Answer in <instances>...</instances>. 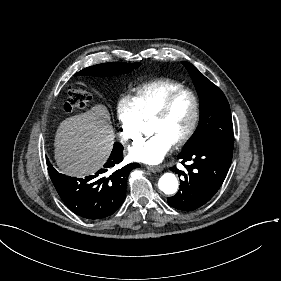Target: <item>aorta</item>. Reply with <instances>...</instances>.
<instances>
[{
    "mask_svg": "<svg viewBox=\"0 0 281 281\" xmlns=\"http://www.w3.org/2000/svg\"><path fill=\"white\" fill-rule=\"evenodd\" d=\"M158 186L163 193L171 195L178 189V180L173 173H165L159 179Z\"/></svg>",
    "mask_w": 281,
    "mask_h": 281,
    "instance_id": "762f6f07",
    "label": "aorta"
}]
</instances>
